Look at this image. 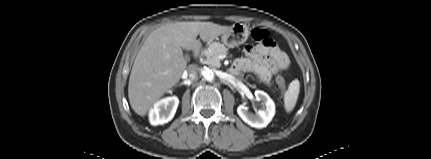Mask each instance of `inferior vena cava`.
<instances>
[{"mask_svg": "<svg viewBox=\"0 0 431 159\" xmlns=\"http://www.w3.org/2000/svg\"><path fill=\"white\" fill-rule=\"evenodd\" d=\"M187 73L190 79H196L198 77V67L196 65H190L187 69Z\"/></svg>", "mask_w": 431, "mask_h": 159, "instance_id": "602c4592", "label": "inferior vena cava"}]
</instances>
